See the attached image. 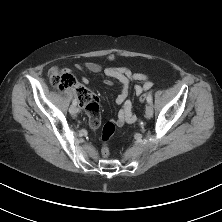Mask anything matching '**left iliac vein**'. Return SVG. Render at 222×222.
Segmentation results:
<instances>
[{
  "label": "left iliac vein",
  "mask_w": 222,
  "mask_h": 222,
  "mask_svg": "<svg viewBox=\"0 0 222 222\" xmlns=\"http://www.w3.org/2000/svg\"><path fill=\"white\" fill-rule=\"evenodd\" d=\"M145 115L147 119H150L153 116V107L151 104H148L146 106Z\"/></svg>",
  "instance_id": "4c4485c4"
}]
</instances>
